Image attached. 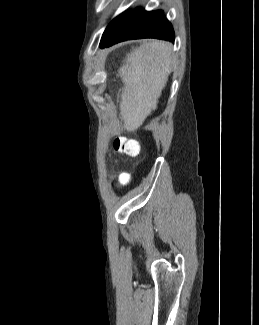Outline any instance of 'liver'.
Returning a JSON list of instances; mask_svg holds the SVG:
<instances>
[{"label":"liver","instance_id":"obj_1","mask_svg":"<svg viewBox=\"0 0 259 325\" xmlns=\"http://www.w3.org/2000/svg\"><path fill=\"white\" fill-rule=\"evenodd\" d=\"M171 73V45L148 41L133 49L118 71L124 87L120 95V115L124 127L134 131L157 108Z\"/></svg>","mask_w":259,"mask_h":325}]
</instances>
